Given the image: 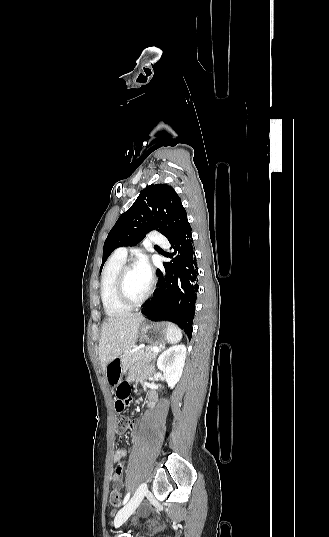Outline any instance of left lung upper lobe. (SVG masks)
Returning a JSON list of instances; mask_svg holds the SVG:
<instances>
[{
    "label": "left lung upper lobe",
    "instance_id": "obj_1",
    "mask_svg": "<svg viewBox=\"0 0 329 537\" xmlns=\"http://www.w3.org/2000/svg\"><path fill=\"white\" fill-rule=\"evenodd\" d=\"M187 221L181 199L171 186L167 184L147 186L109 232L104 242L100 271L116 248L136 245L152 230L159 231L171 240Z\"/></svg>",
    "mask_w": 329,
    "mask_h": 537
}]
</instances>
